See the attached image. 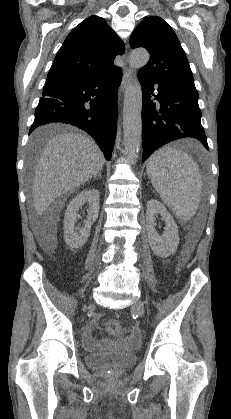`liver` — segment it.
<instances>
[{
    "label": "liver",
    "mask_w": 231,
    "mask_h": 419,
    "mask_svg": "<svg viewBox=\"0 0 231 419\" xmlns=\"http://www.w3.org/2000/svg\"><path fill=\"white\" fill-rule=\"evenodd\" d=\"M47 126L35 130L33 141H41ZM105 158L91 138L78 133H63L50 139L44 146L35 169L32 196L36 213L42 215L61 195L79 188L103 168ZM51 237L56 244L55 233Z\"/></svg>",
    "instance_id": "obj_1"
}]
</instances>
